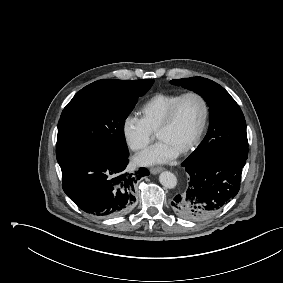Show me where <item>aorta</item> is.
<instances>
[{
    "label": "aorta",
    "instance_id": "obj_1",
    "mask_svg": "<svg viewBox=\"0 0 283 283\" xmlns=\"http://www.w3.org/2000/svg\"><path fill=\"white\" fill-rule=\"evenodd\" d=\"M159 181L160 183L168 188V189H172L175 188L177 185V178L176 176L169 172V171H164L159 175Z\"/></svg>",
    "mask_w": 283,
    "mask_h": 283
}]
</instances>
